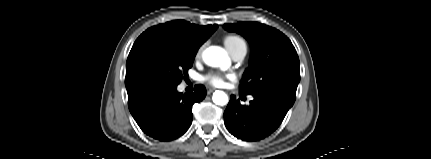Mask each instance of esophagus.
I'll return each mask as SVG.
<instances>
[{
  "instance_id": "esophagus-1",
  "label": "esophagus",
  "mask_w": 431,
  "mask_h": 159,
  "mask_svg": "<svg viewBox=\"0 0 431 159\" xmlns=\"http://www.w3.org/2000/svg\"><path fill=\"white\" fill-rule=\"evenodd\" d=\"M215 91V89L214 88H209L208 90H207V93L208 94H211L212 92H214Z\"/></svg>"
}]
</instances>
